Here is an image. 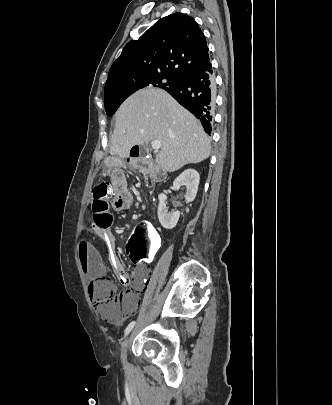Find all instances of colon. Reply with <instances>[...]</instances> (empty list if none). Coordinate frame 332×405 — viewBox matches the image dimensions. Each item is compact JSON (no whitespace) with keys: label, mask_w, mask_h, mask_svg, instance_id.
<instances>
[{"label":"colon","mask_w":332,"mask_h":405,"mask_svg":"<svg viewBox=\"0 0 332 405\" xmlns=\"http://www.w3.org/2000/svg\"><path fill=\"white\" fill-rule=\"evenodd\" d=\"M114 197L109 182L98 184L93 189L92 212L96 229L106 231L112 222L110 198ZM152 223L143 221L136 224L132 231L127 256H133L134 267H147L152 256L157 255L161 238L158 231H153ZM90 297L99 314L106 319H113L125 314L127 303L135 291L118 292L117 285L109 277H98L89 286Z\"/></svg>","instance_id":"colon-1"}]
</instances>
